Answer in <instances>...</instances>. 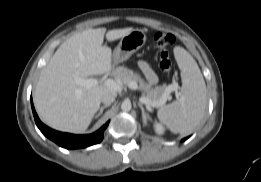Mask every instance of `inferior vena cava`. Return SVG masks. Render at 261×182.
<instances>
[{
  "instance_id": "602c4592",
  "label": "inferior vena cava",
  "mask_w": 261,
  "mask_h": 182,
  "mask_svg": "<svg viewBox=\"0 0 261 182\" xmlns=\"http://www.w3.org/2000/svg\"><path fill=\"white\" fill-rule=\"evenodd\" d=\"M115 101V96L112 94H105L101 97V102L105 105H111Z\"/></svg>"
}]
</instances>
